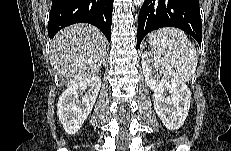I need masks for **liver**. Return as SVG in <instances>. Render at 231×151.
I'll return each mask as SVG.
<instances>
[{"label": "liver", "mask_w": 231, "mask_h": 151, "mask_svg": "<svg viewBox=\"0 0 231 151\" xmlns=\"http://www.w3.org/2000/svg\"><path fill=\"white\" fill-rule=\"evenodd\" d=\"M107 40L90 24L69 26L51 43V64L67 87L95 76L105 57Z\"/></svg>", "instance_id": "obj_1"}]
</instances>
